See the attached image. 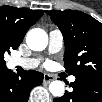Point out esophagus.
Segmentation results:
<instances>
[{
    "mask_svg": "<svg viewBox=\"0 0 102 102\" xmlns=\"http://www.w3.org/2000/svg\"><path fill=\"white\" fill-rule=\"evenodd\" d=\"M52 80H54V76L52 74H47V73L44 74V79H43L44 84H48Z\"/></svg>",
    "mask_w": 102,
    "mask_h": 102,
    "instance_id": "esophagus-1",
    "label": "esophagus"
}]
</instances>
